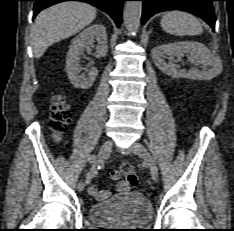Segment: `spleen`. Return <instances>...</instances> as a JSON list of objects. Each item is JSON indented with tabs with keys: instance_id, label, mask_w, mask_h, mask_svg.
Listing matches in <instances>:
<instances>
[{
	"instance_id": "1",
	"label": "spleen",
	"mask_w": 234,
	"mask_h": 231,
	"mask_svg": "<svg viewBox=\"0 0 234 231\" xmlns=\"http://www.w3.org/2000/svg\"><path fill=\"white\" fill-rule=\"evenodd\" d=\"M160 24L164 31L177 36H195L203 32L200 21L194 15L183 11L167 12Z\"/></svg>"
}]
</instances>
